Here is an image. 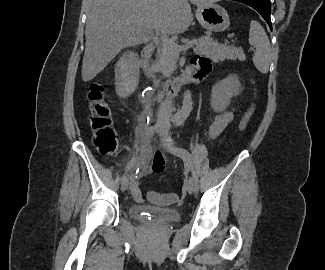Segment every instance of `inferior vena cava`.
<instances>
[{"label":"inferior vena cava","mask_w":325,"mask_h":270,"mask_svg":"<svg viewBox=\"0 0 325 270\" xmlns=\"http://www.w3.org/2000/svg\"><path fill=\"white\" fill-rule=\"evenodd\" d=\"M172 113V102L171 100L164 101L158 112V120L166 121Z\"/></svg>","instance_id":"inferior-vena-cava-1"}]
</instances>
